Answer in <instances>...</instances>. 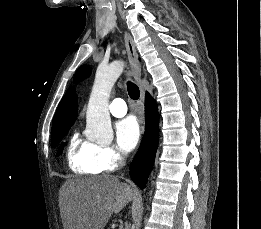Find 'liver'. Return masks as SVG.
Masks as SVG:
<instances>
[{"label": "liver", "instance_id": "liver-1", "mask_svg": "<svg viewBox=\"0 0 261 229\" xmlns=\"http://www.w3.org/2000/svg\"><path fill=\"white\" fill-rule=\"evenodd\" d=\"M64 195L66 229H104L134 199L133 189L113 175L70 179Z\"/></svg>", "mask_w": 261, "mask_h": 229}]
</instances>
